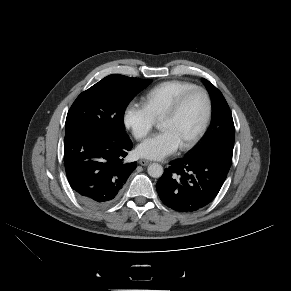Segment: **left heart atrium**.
I'll return each mask as SVG.
<instances>
[{"label":"left heart atrium","instance_id":"left-heart-atrium-1","mask_svg":"<svg viewBox=\"0 0 291 291\" xmlns=\"http://www.w3.org/2000/svg\"><path fill=\"white\" fill-rule=\"evenodd\" d=\"M180 147L176 136L169 130L154 135L137 147L140 157L152 160L162 159L174 153Z\"/></svg>","mask_w":291,"mask_h":291}]
</instances>
